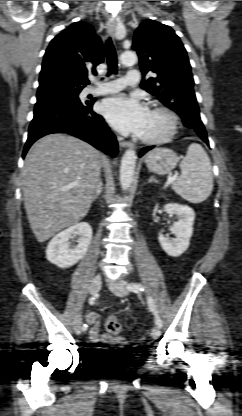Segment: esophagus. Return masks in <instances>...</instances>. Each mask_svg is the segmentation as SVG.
Segmentation results:
<instances>
[{
    "mask_svg": "<svg viewBox=\"0 0 242 416\" xmlns=\"http://www.w3.org/2000/svg\"><path fill=\"white\" fill-rule=\"evenodd\" d=\"M107 31H108V33H109L112 37H114L115 32H116V24H115V23H113V22H108V23H107ZM117 140H118V142H119V145H120L121 147H123V148H127V147H132V146H133V144H132L131 142L124 140L122 137H119V136H118V137H117Z\"/></svg>",
    "mask_w": 242,
    "mask_h": 416,
    "instance_id": "obj_1",
    "label": "esophagus"
}]
</instances>
